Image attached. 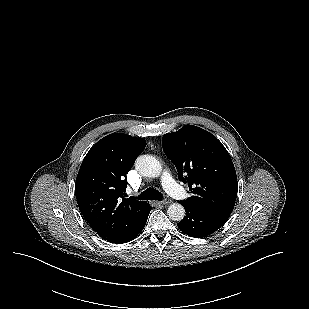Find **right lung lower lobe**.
Wrapping results in <instances>:
<instances>
[{"instance_id":"right-lung-lower-lobe-1","label":"right lung lower lobe","mask_w":309,"mask_h":309,"mask_svg":"<svg viewBox=\"0 0 309 309\" xmlns=\"http://www.w3.org/2000/svg\"><path fill=\"white\" fill-rule=\"evenodd\" d=\"M150 211H151V207H150V205H148L143 218L141 219V221L137 225H135L127 233H125V234H123V235H121L119 237H116V238L108 239L107 241L111 242V243H115V244H122V243H126V242L132 241L134 238L137 237V235L144 228Z\"/></svg>"}]
</instances>
